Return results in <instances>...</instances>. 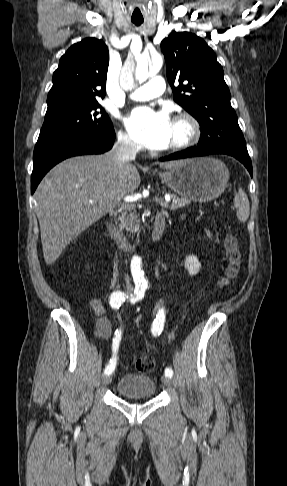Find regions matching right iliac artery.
Returning <instances> with one entry per match:
<instances>
[{
  "label": "right iliac artery",
  "mask_w": 287,
  "mask_h": 486,
  "mask_svg": "<svg viewBox=\"0 0 287 486\" xmlns=\"http://www.w3.org/2000/svg\"><path fill=\"white\" fill-rule=\"evenodd\" d=\"M136 296H138V300L142 299L145 294V287H136L134 290ZM128 298V296L122 291H114L110 296V306L113 309H119L124 301ZM133 299V298H131ZM121 339V330H116L115 332V339L113 340V356L109 361V364L106 366L104 370V374L109 375L111 374L116 366V354L119 346V342Z\"/></svg>",
  "instance_id": "obj_1"
}]
</instances>
